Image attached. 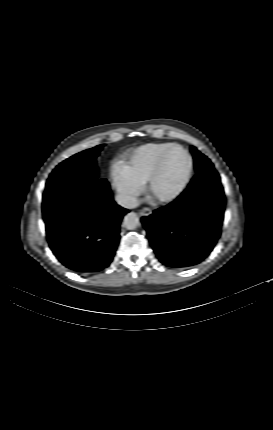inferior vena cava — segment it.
I'll list each match as a JSON object with an SVG mask.
<instances>
[{"mask_svg":"<svg viewBox=\"0 0 273 430\" xmlns=\"http://www.w3.org/2000/svg\"><path fill=\"white\" fill-rule=\"evenodd\" d=\"M115 200L120 206L127 209H133L138 206V200L129 195H123V194L116 195Z\"/></svg>","mask_w":273,"mask_h":430,"instance_id":"602c4592","label":"inferior vena cava"}]
</instances>
